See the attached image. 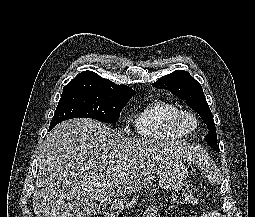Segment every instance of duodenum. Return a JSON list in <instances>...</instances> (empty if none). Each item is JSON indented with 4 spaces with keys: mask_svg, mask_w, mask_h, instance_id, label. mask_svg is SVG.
Here are the masks:
<instances>
[{
    "mask_svg": "<svg viewBox=\"0 0 255 217\" xmlns=\"http://www.w3.org/2000/svg\"><path fill=\"white\" fill-rule=\"evenodd\" d=\"M98 211L101 215H109L113 211L112 206L107 203H102L98 207Z\"/></svg>",
    "mask_w": 255,
    "mask_h": 217,
    "instance_id": "1",
    "label": "duodenum"
}]
</instances>
